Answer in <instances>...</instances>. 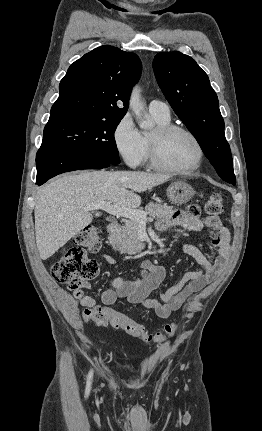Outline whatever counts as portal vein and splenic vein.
Masks as SVG:
<instances>
[{
	"label": "portal vein and splenic vein",
	"instance_id": "portal-vein-and-splenic-vein-1",
	"mask_svg": "<svg viewBox=\"0 0 262 431\" xmlns=\"http://www.w3.org/2000/svg\"><path fill=\"white\" fill-rule=\"evenodd\" d=\"M98 209L103 210L113 216L124 217L130 220H135L142 225L146 224L147 222V213L140 210H134V209L115 206V205H112L110 202H106V201H100V202L88 204L84 208L85 211L98 210Z\"/></svg>",
	"mask_w": 262,
	"mask_h": 431
}]
</instances>
